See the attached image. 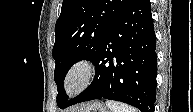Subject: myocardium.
I'll return each instance as SVG.
<instances>
[{"label": "myocardium", "instance_id": "f54148a6", "mask_svg": "<svg viewBox=\"0 0 193 112\" xmlns=\"http://www.w3.org/2000/svg\"><path fill=\"white\" fill-rule=\"evenodd\" d=\"M96 68L94 62L88 57L75 60L69 67L64 78V89L69 95H78L86 90L93 82ZM74 79L78 80L75 88L72 87Z\"/></svg>", "mask_w": 193, "mask_h": 112}]
</instances>
